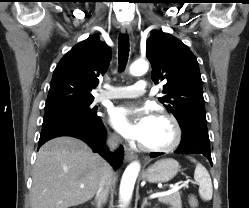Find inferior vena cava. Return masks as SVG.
Returning <instances> with one entry per match:
<instances>
[{
    "label": "inferior vena cava",
    "instance_id": "1",
    "mask_svg": "<svg viewBox=\"0 0 249 208\" xmlns=\"http://www.w3.org/2000/svg\"><path fill=\"white\" fill-rule=\"evenodd\" d=\"M120 139L117 135H111L109 136L107 140V145L110 148L111 151H114L118 148L119 146ZM112 168L108 165L105 169L104 176L100 182L97 195H96V200H97V205L100 206L101 203H105L109 194L110 186L112 183Z\"/></svg>",
    "mask_w": 249,
    "mask_h": 208
}]
</instances>
